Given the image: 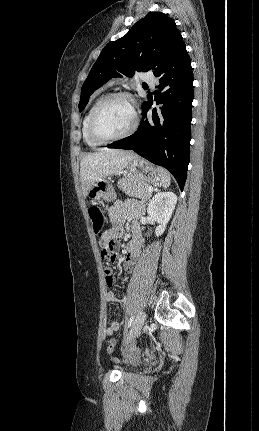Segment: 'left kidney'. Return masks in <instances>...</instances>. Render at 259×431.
<instances>
[{"label":"left kidney","mask_w":259,"mask_h":431,"mask_svg":"<svg viewBox=\"0 0 259 431\" xmlns=\"http://www.w3.org/2000/svg\"><path fill=\"white\" fill-rule=\"evenodd\" d=\"M177 203L173 192H158L149 202L147 213L159 225L155 229L156 236L163 234Z\"/></svg>","instance_id":"1"}]
</instances>
